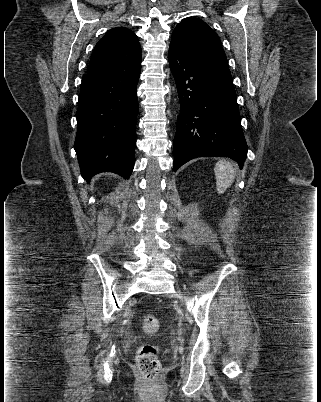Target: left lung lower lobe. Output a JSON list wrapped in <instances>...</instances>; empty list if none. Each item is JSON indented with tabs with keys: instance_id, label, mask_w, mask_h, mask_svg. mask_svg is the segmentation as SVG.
Instances as JSON below:
<instances>
[{
	"instance_id": "0a47b994",
	"label": "left lung lower lobe",
	"mask_w": 321,
	"mask_h": 402,
	"mask_svg": "<svg viewBox=\"0 0 321 402\" xmlns=\"http://www.w3.org/2000/svg\"><path fill=\"white\" fill-rule=\"evenodd\" d=\"M180 115L174 137L177 171L196 157L227 156L243 166L247 144L228 67L191 58L169 46Z\"/></svg>"
}]
</instances>
